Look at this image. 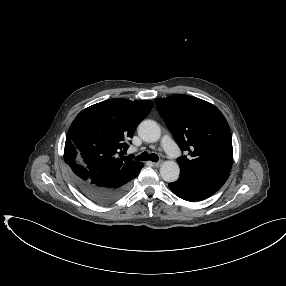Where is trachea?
I'll list each match as a JSON object with an SVG mask.
<instances>
[{"mask_svg": "<svg viewBox=\"0 0 286 286\" xmlns=\"http://www.w3.org/2000/svg\"><path fill=\"white\" fill-rule=\"evenodd\" d=\"M158 155L155 153L152 154H148L147 152H143L142 154H140L139 156L136 157V160H141V161H147V160H151L153 162H157L158 161Z\"/></svg>", "mask_w": 286, "mask_h": 286, "instance_id": "trachea-1", "label": "trachea"}]
</instances>
